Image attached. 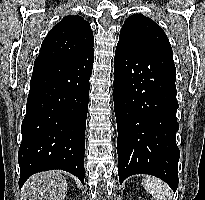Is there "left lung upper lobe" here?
Returning <instances> with one entry per match:
<instances>
[{"label":"left lung upper lobe","mask_w":205,"mask_h":200,"mask_svg":"<svg viewBox=\"0 0 205 200\" xmlns=\"http://www.w3.org/2000/svg\"><path fill=\"white\" fill-rule=\"evenodd\" d=\"M117 45L132 50H146L159 47L171 48L162 28L142 14H133L126 19L121 28Z\"/></svg>","instance_id":"obj_1"}]
</instances>
